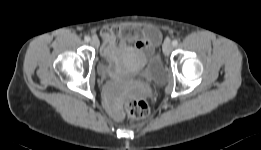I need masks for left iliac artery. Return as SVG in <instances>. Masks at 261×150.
I'll list each match as a JSON object with an SVG mask.
<instances>
[{"mask_svg":"<svg viewBox=\"0 0 261 150\" xmlns=\"http://www.w3.org/2000/svg\"><path fill=\"white\" fill-rule=\"evenodd\" d=\"M177 44H178V41H177V40H173V41H172V45H173V46H177Z\"/></svg>","mask_w":261,"mask_h":150,"instance_id":"left-iliac-artery-1","label":"left iliac artery"}]
</instances>
